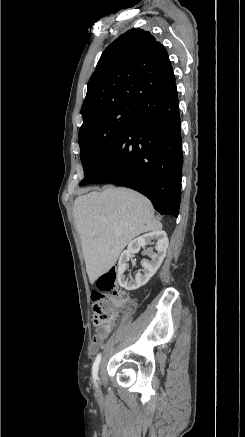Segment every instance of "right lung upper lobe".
<instances>
[{
    "instance_id": "obj_1",
    "label": "right lung upper lobe",
    "mask_w": 245,
    "mask_h": 437,
    "mask_svg": "<svg viewBox=\"0 0 245 437\" xmlns=\"http://www.w3.org/2000/svg\"><path fill=\"white\" fill-rule=\"evenodd\" d=\"M176 90L175 76L165 47L150 32L130 29L102 53L82 105L83 120L117 103L164 97Z\"/></svg>"
}]
</instances>
